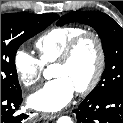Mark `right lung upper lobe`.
Here are the masks:
<instances>
[{"label": "right lung upper lobe", "mask_w": 123, "mask_h": 123, "mask_svg": "<svg viewBox=\"0 0 123 123\" xmlns=\"http://www.w3.org/2000/svg\"><path fill=\"white\" fill-rule=\"evenodd\" d=\"M56 16H57V19L59 18V16L56 14Z\"/></svg>", "instance_id": "1"}]
</instances>
